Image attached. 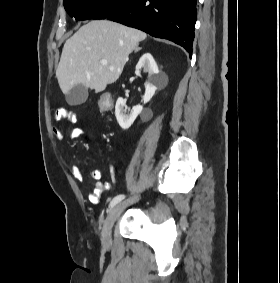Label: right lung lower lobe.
Masks as SVG:
<instances>
[{"mask_svg":"<svg viewBox=\"0 0 280 283\" xmlns=\"http://www.w3.org/2000/svg\"><path fill=\"white\" fill-rule=\"evenodd\" d=\"M197 0H132L107 19L182 46L192 54Z\"/></svg>","mask_w":280,"mask_h":283,"instance_id":"98d812e1","label":"right lung lower lobe"}]
</instances>
